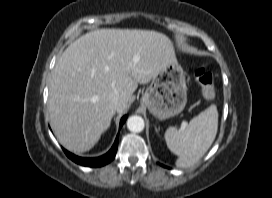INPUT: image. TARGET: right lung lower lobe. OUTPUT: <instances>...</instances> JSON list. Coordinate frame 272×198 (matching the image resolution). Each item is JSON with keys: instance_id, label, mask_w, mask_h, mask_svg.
I'll use <instances>...</instances> for the list:
<instances>
[{"instance_id": "obj_1", "label": "right lung lower lobe", "mask_w": 272, "mask_h": 198, "mask_svg": "<svg viewBox=\"0 0 272 198\" xmlns=\"http://www.w3.org/2000/svg\"><path fill=\"white\" fill-rule=\"evenodd\" d=\"M127 119V116L125 115L121 121H120V127L124 124L125 120ZM117 145H118V136L112 146V148L110 149V151L108 153H106L105 155L101 156V157H97V158H81L78 156H75L74 154L66 151L65 149L64 152L65 154L75 163L83 165V166H89V167H100V166H104L106 164H108L110 161H112L116 155V151H117Z\"/></svg>"}]
</instances>
